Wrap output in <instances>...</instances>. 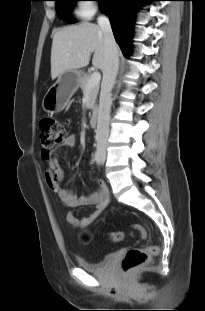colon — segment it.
Returning <instances> with one entry per match:
<instances>
[{
	"label": "colon",
	"mask_w": 205,
	"mask_h": 311,
	"mask_svg": "<svg viewBox=\"0 0 205 311\" xmlns=\"http://www.w3.org/2000/svg\"><path fill=\"white\" fill-rule=\"evenodd\" d=\"M66 137V131L63 123L58 119L46 118L40 122V142L41 154L48 159L51 155V149L61 144ZM133 229L138 232L142 238H146V229L139 225H133ZM122 232H114L109 234L108 238L113 242H120L123 239ZM158 254V247L150 246L146 248L129 249L121 262L123 272H129L132 269L146 264L152 257Z\"/></svg>",
	"instance_id": "colon-1"
}]
</instances>
